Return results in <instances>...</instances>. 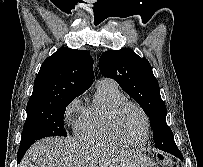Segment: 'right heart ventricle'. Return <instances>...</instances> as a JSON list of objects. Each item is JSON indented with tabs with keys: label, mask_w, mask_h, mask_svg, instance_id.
Masks as SVG:
<instances>
[{
	"label": "right heart ventricle",
	"mask_w": 203,
	"mask_h": 167,
	"mask_svg": "<svg viewBox=\"0 0 203 167\" xmlns=\"http://www.w3.org/2000/svg\"><path fill=\"white\" fill-rule=\"evenodd\" d=\"M123 100L125 97L114 82L98 84L93 101L83 109L76 124V135L89 143L124 145L108 128L112 111Z\"/></svg>",
	"instance_id": "right-heart-ventricle-1"
}]
</instances>
